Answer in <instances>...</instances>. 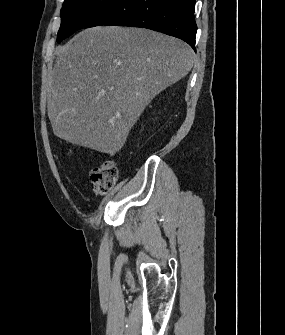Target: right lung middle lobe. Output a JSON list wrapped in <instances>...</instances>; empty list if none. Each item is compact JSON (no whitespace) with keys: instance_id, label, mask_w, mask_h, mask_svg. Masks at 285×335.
<instances>
[{"instance_id":"obj_1","label":"right lung middle lobe","mask_w":285,"mask_h":335,"mask_svg":"<svg viewBox=\"0 0 285 335\" xmlns=\"http://www.w3.org/2000/svg\"><path fill=\"white\" fill-rule=\"evenodd\" d=\"M115 0H65L61 9V26L57 35L60 43L89 20L109 7Z\"/></svg>"}]
</instances>
